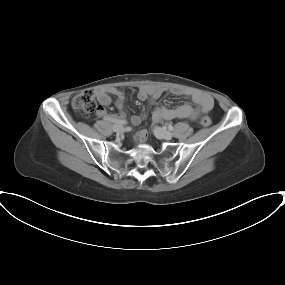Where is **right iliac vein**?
<instances>
[{
	"mask_svg": "<svg viewBox=\"0 0 285 285\" xmlns=\"http://www.w3.org/2000/svg\"><path fill=\"white\" fill-rule=\"evenodd\" d=\"M113 130L117 133H121L124 131V127L120 124L113 125Z\"/></svg>",
	"mask_w": 285,
	"mask_h": 285,
	"instance_id": "63e3f726",
	"label": "right iliac vein"
}]
</instances>
